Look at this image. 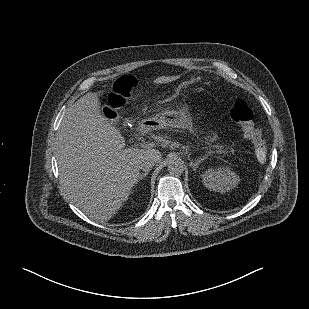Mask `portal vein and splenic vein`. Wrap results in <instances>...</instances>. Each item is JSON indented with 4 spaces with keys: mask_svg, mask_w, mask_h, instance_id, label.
I'll return each instance as SVG.
<instances>
[{
    "mask_svg": "<svg viewBox=\"0 0 309 309\" xmlns=\"http://www.w3.org/2000/svg\"><path fill=\"white\" fill-rule=\"evenodd\" d=\"M156 143L155 142H144L141 144V147L144 149H151L155 147Z\"/></svg>",
    "mask_w": 309,
    "mask_h": 309,
    "instance_id": "portal-vein-and-splenic-vein-1",
    "label": "portal vein and splenic vein"
}]
</instances>
